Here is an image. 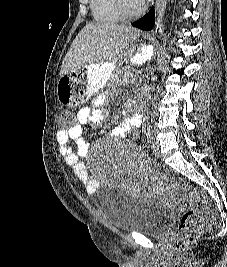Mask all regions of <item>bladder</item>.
Returning a JSON list of instances; mask_svg holds the SVG:
<instances>
[{"instance_id":"31cf9c89","label":"bladder","mask_w":227,"mask_h":267,"mask_svg":"<svg viewBox=\"0 0 227 267\" xmlns=\"http://www.w3.org/2000/svg\"><path fill=\"white\" fill-rule=\"evenodd\" d=\"M99 203L106 222L123 232L161 235L173 216L154 199L132 197L114 186L102 187Z\"/></svg>"}]
</instances>
